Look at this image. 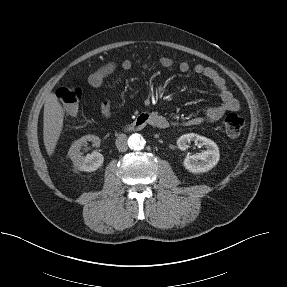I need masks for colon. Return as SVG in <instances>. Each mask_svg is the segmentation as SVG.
<instances>
[{"mask_svg":"<svg viewBox=\"0 0 287 287\" xmlns=\"http://www.w3.org/2000/svg\"><path fill=\"white\" fill-rule=\"evenodd\" d=\"M56 96L63 104L68 115L77 113L81 99V90L78 87L72 84L63 85L56 91ZM223 123L227 135L236 137L241 133L245 122L241 115L232 112L225 116Z\"/></svg>","mask_w":287,"mask_h":287,"instance_id":"colon-1","label":"colon"}]
</instances>
